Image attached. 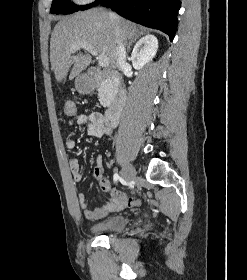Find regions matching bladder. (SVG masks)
Masks as SVG:
<instances>
[{
    "mask_svg": "<svg viewBox=\"0 0 247 280\" xmlns=\"http://www.w3.org/2000/svg\"><path fill=\"white\" fill-rule=\"evenodd\" d=\"M126 224L125 217L115 216L91 225L89 230L94 234H109L123 230Z\"/></svg>",
    "mask_w": 247,
    "mask_h": 280,
    "instance_id": "bladder-1",
    "label": "bladder"
}]
</instances>
